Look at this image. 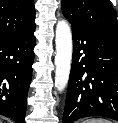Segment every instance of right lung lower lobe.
I'll return each mask as SVG.
<instances>
[{"instance_id": "1", "label": "right lung lower lobe", "mask_w": 118, "mask_h": 123, "mask_svg": "<svg viewBox=\"0 0 118 123\" xmlns=\"http://www.w3.org/2000/svg\"><path fill=\"white\" fill-rule=\"evenodd\" d=\"M34 31L0 41V115L25 122L36 38Z\"/></svg>"}]
</instances>
